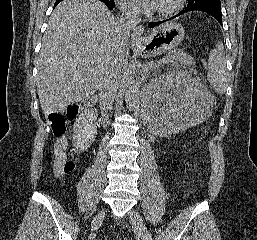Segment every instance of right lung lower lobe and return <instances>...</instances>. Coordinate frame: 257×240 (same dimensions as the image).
I'll list each match as a JSON object with an SVG mask.
<instances>
[{"label":"right lung lower lobe","instance_id":"right-lung-lower-lobe-1","mask_svg":"<svg viewBox=\"0 0 257 240\" xmlns=\"http://www.w3.org/2000/svg\"><path fill=\"white\" fill-rule=\"evenodd\" d=\"M101 1L104 2L110 10H112L115 7L113 0H101Z\"/></svg>","mask_w":257,"mask_h":240}]
</instances>
